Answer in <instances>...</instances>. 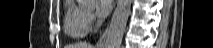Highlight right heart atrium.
Segmentation results:
<instances>
[{
	"label": "right heart atrium",
	"mask_w": 213,
	"mask_h": 48,
	"mask_svg": "<svg viewBox=\"0 0 213 48\" xmlns=\"http://www.w3.org/2000/svg\"><path fill=\"white\" fill-rule=\"evenodd\" d=\"M86 20H87V22H88L89 25H90V23H91L92 20H93V17H92V14H91V13H87V14H86Z\"/></svg>",
	"instance_id": "obj_1"
}]
</instances>
